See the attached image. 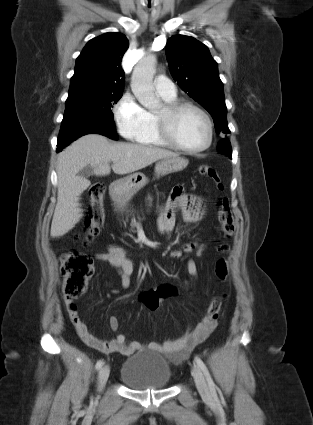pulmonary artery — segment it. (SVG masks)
<instances>
[{
    "instance_id": "pulmonary-artery-1",
    "label": "pulmonary artery",
    "mask_w": 313,
    "mask_h": 425,
    "mask_svg": "<svg viewBox=\"0 0 313 425\" xmlns=\"http://www.w3.org/2000/svg\"><path fill=\"white\" fill-rule=\"evenodd\" d=\"M154 85L157 93L165 98L176 97V87L174 83L165 76H158L154 80Z\"/></svg>"
}]
</instances>
